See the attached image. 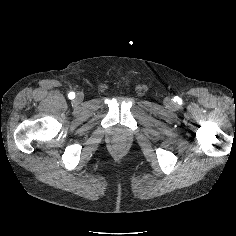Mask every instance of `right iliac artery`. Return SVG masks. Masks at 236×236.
Wrapping results in <instances>:
<instances>
[{
    "instance_id": "1",
    "label": "right iliac artery",
    "mask_w": 236,
    "mask_h": 236,
    "mask_svg": "<svg viewBox=\"0 0 236 236\" xmlns=\"http://www.w3.org/2000/svg\"><path fill=\"white\" fill-rule=\"evenodd\" d=\"M68 97H69L70 99H74V98H75V93H74V92H70V93L68 94Z\"/></svg>"
}]
</instances>
